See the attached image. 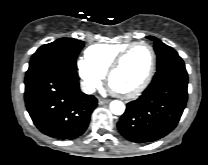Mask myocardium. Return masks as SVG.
Instances as JSON below:
<instances>
[{
  "instance_id": "obj_1",
  "label": "myocardium",
  "mask_w": 208,
  "mask_h": 165,
  "mask_svg": "<svg viewBox=\"0 0 208 165\" xmlns=\"http://www.w3.org/2000/svg\"><path fill=\"white\" fill-rule=\"evenodd\" d=\"M138 46H145L150 50L151 53V62H150V66L148 69V72L146 74V76L144 77L143 81L136 86L135 88L131 89V90H127V91H121L118 89H115L112 86L111 83V79L113 74L119 69V67L122 65L124 59L128 56V54L135 48ZM156 52L153 48L152 45H150L147 42H135L130 44L129 46H127L126 48H124L121 52L118 53V55L115 57V59L112 61V63L110 64L107 72H106V81H107V85L109 87V89L117 96L121 97V98H134L136 96H138L139 94H141L146 88L147 86L150 84L154 72H155V68H156Z\"/></svg>"
}]
</instances>
